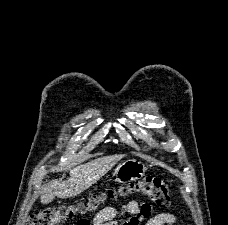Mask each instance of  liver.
<instances>
[{
  "label": "liver",
  "mask_w": 228,
  "mask_h": 225,
  "mask_svg": "<svg viewBox=\"0 0 228 225\" xmlns=\"http://www.w3.org/2000/svg\"><path fill=\"white\" fill-rule=\"evenodd\" d=\"M125 155H110V157H100V159H94L79 167H73L70 169V179L60 183L58 179H54L51 183H48L47 187L41 191V203L47 205L51 203L55 197L58 199H68V197H76L80 195L86 189H89L91 185L97 183L101 177H104L108 171H111L112 167L121 161Z\"/></svg>",
  "instance_id": "obj_1"
}]
</instances>
